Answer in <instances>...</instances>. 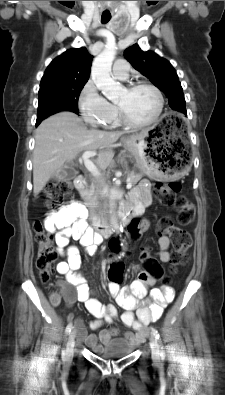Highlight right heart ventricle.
Returning a JSON list of instances; mask_svg holds the SVG:
<instances>
[{
    "label": "right heart ventricle",
    "mask_w": 225,
    "mask_h": 395,
    "mask_svg": "<svg viewBox=\"0 0 225 395\" xmlns=\"http://www.w3.org/2000/svg\"><path fill=\"white\" fill-rule=\"evenodd\" d=\"M118 124V119L115 118L114 121L110 124L111 126H115Z\"/></svg>",
    "instance_id": "right-heart-ventricle-1"
}]
</instances>
